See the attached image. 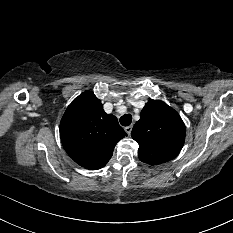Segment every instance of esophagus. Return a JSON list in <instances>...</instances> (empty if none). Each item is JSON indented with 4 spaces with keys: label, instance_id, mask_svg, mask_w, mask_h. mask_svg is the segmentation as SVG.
<instances>
[{
    "label": "esophagus",
    "instance_id": "esophagus-1",
    "mask_svg": "<svg viewBox=\"0 0 233 233\" xmlns=\"http://www.w3.org/2000/svg\"><path fill=\"white\" fill-rule=\"evenodd\" d=\"M124 130L126 131V133H127L128 135H130V134H131V131H132V126H127V127L124 128Z\"/></svg>",
    "mask_w": 233,
    "mask_h": 233
}]
</instances>
